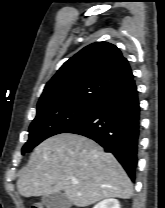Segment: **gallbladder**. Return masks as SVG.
<instances>
[{
  "mask_svg": "<svg viewBox=\"0 0 165 208\" xmlns=\"http://www.w3.org/2000/svg\"><path fill=\"white\" fill-rule=\"evenodd\" d=\"M46 208H71L72 203L62 192L44 195L41 199Z\"/></svg>",
  "mask_w": 165,
  "mask_h": 208,
  "instance_id": "1",
  "label": "gallbladder"
}]
</instances>
